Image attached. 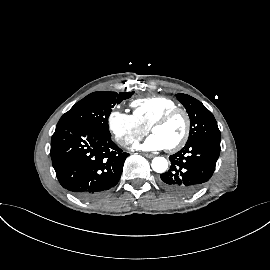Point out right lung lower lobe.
I'll return each mask as SVG.
<instances>
[{
    "mask_svg": "<svg viewBox=\"0 0 270 270\" xmlns=\"http://www.w3.org/2000/svg\"><path fill=\"white\" fill-rule=\"evenodd\" d=\"M52 164L63 188L92 199L114 187L121 176L124 153L106 135L91 127H56L51 138Z\"/></svg>",
    "mask_w": 270,
    "mask_h": 270,
    "instance_id": "right-lung-lower-lobe-1",
    "label": "right lung lower lobe"
}]
</instances>
